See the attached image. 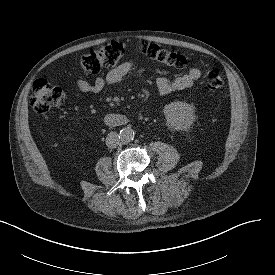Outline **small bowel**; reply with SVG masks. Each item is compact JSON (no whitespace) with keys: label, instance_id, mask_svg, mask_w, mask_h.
<instances>
[{"label":"small bowel","instance_id":"obj_1","mask_svg":"<svg viewBox=\"0 0 275 275\" xmlns=\"http://www.w3.org/2000/svg\"><path fill=\"white\" fill-rule=\"evenodd\" d=\"M134 73L135 66L132 62L127 61L109 71L105 76L98 77L92 82L78 78L73 91L74 95L76 97H82L87 93H99L107 86L114 85ZM200 77L201 71L198 68H191L187 73L174 79L158 76L156 78V88L160 94H169L174 91L190 88Z\"/></svg>","mask_w":275,"mask_h":275}]
</instances>
